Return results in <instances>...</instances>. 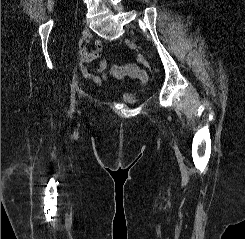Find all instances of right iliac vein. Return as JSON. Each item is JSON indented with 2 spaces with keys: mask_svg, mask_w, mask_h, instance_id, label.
Returning <instances> with one entry per match:
<instances>
[{
  "mask_svg": "<svg viewBox=\"0 0 245 239\" xmlns=\"http://www.w3.org/2000/svg\"><path fill=\"white\" fill-rule=\"evenodd\" d=\"M89 36H90V30H89L88 27H85V28L83 29V32H82V38L85 40V39H87ZM77 90H78L79 97H80V93H81L80 87H78Z\"/></svg>",
  "mask_w": 245,
  "mask_h": 239,
  "instance_id": "obj_1",
  "label": "right iliac vein"
}]
</instances>
